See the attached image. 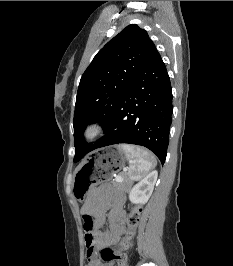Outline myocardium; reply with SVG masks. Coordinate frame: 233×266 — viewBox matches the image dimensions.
Masks as SVG:
<instances>
[{"mask_svg":"<svg viewBox=\"0 0 233 266\" xmlns=\"http://www.w3.org/2000/svg\"><path fill=\"white\" fill-rule=\"evenodd\" d=\"M104 123L102 121H95L89 123L83 130V138L86 142L95 141L103 132Z\"/></svg>","mask_w":233,"mask_h":266,"instance_id":"obj_1","label":"myocardium"}]
</instances>
